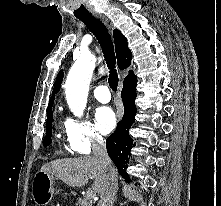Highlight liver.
Returning <instances> with one entry per match:
<instances>
[{
    "label": "liver",
    "mask_w": 221,
    "mask_h": 206,
    "mask_svg": "<svg viewBox=\"0 0 221 206\" xmlns=\"http://www.w3.org/2000/svg\"><path fill=\"white\" fill-rule=\"evenodd\" d=\"M40 171L56 176L73 187L84 186L89 178H94L92 190L100 196L106 183L103 168L97 158L90 156L56 159L43 165Z\"/></svg>",
    "instance_id": "liver-1"
}]
</instances>
